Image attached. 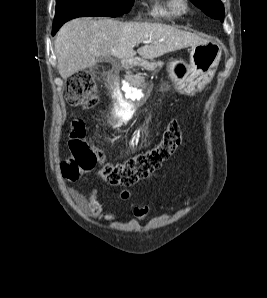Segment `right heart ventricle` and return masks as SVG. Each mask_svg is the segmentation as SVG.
<instances>
[{
  "instance_id": "e07e8e85",
  "label": "right heart ventricle",
  "mask_w": 267,
  "mask_h": 298,
  "mask_svg": "<svg viewBox=\"0 0 267 298\" xmlns=\"http://www.w3.org/2000/svg\"><path fill=\"white\" fill-rule=\"evenodd\" d=\"M149 13L155 18H168L180 15L174 0H150Z\"/></svg>"
}]
</instances>
